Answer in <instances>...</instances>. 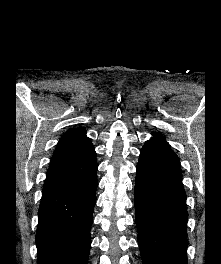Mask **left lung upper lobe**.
Here are the masks:
<instances>
[{
    "mask_svg": "<svg viewBox=\"0 0 221 264\" xmlns=\"http://www.w3.org/2000/svg\"><path fill=\"white\" fill-rule=\"evenodd\" d=\"M153 136L155 137V138H152L153 140L160 141L164 143L165 145H167L168 147H170L169 144L165 141V138L161 134H153Z\"/></svg>",
    "mask_w": 221,
    "mask_h": 264,
    "instance_id": "left-lung-upper-lobe-1",
    "label": "left lung upper lobe"
}]
</instances>
